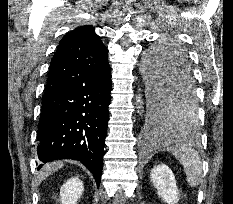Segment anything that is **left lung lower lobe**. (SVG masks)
Instances as JSON below:
<instances>
[{
    "label": "left lung lower lobe",
    "mask_w": 233,
    "mask_h": 204,
    "mask_svg": "<svg viewBox=\"0 0 233 204\" xmlns=\"http://www.w3.org/2000/svg\"><path fill=\"white\" fill-rule=\"evenodd\" d=\"M176 60L174 62V70L167 80L163 82V91L160 92L158 114L153 118H149L148 139L153 140L155 135L164 134L169 131H164L162 126L166 119L164 113L165 103L175 100L180 94L195 93V85L193 83L192 71L189 63L178 53L174 54Z\"/></svg>",
    "instance_id": "0a47b994"
}]
</instances>
